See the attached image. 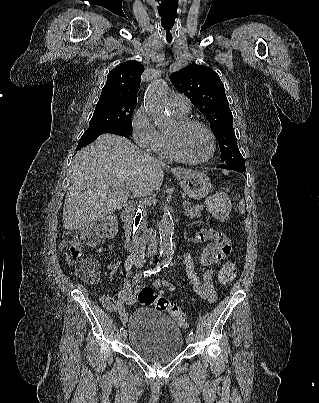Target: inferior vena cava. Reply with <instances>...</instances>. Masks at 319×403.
<instances>
[{"label": "inferior vena cava", "instance_id": "inferior-vena-cava-1", "mask_svg": "<svg viewBox=\"0 0 319 403\" xmlns=\"http://www.w3.org/2000/svg\"><path fill=\"white\" fill-rule=\"evenodd\" d=\"M149 249L154 251L157 249V239L155 236L150 240Z\"/></svg>", "mask_w": 319, "mask_h": 403}]
</instances>
